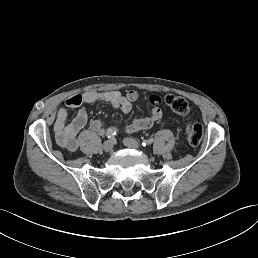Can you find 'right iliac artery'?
<instances>
[{
  "label": "right iliac artery",
  "instance_id": "obj_1",
  "mask_svg": "<svg viewBox=\"0 0 258 258\" xmlns=\"http://www.w3.org/2000/svg\"><path fill=\"white\" fill-rule=\"evenodd\" d=\"M117 128L115 127H110L108 130H107V133H106V136L108 139H113L116 134H117Z\"/></svg>",
  "mask_w": 258,
  "mask_h": 258
}]
</instances>
